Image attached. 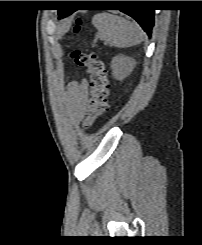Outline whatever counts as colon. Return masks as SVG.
<instances>
[{"label":"colon","mask_w":202,"mask_h":245,"mask_svg":"<svg viewBox=\"0 0 202 245\" xmlns=\"http://www.w3.org/2000/svg\"><path fill=\"white\" fill-rule=\"evenodd\" d=\"M76 29L78 30L79 26H76ZM72 60L76 66L84 70L88 78L83 122L91 125L103 117L108 110L110 83L106 65L94 52L75 50L72 53Z\"/></svg>","instance_id":"5ec220e1"}]
</instances>
